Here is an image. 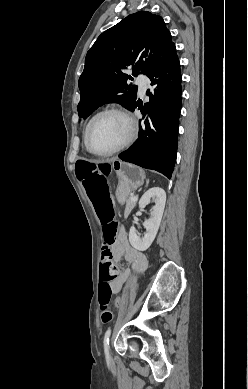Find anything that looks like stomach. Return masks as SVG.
I'll return each instance as SVG.
<instances>
[{
	"instance_id": "stomach-1",
	"label": "stomach",
	"mask_w": 248,
	"mask_h": 389,
	"mask_svg": "<svg viewBox=\"0 0 248 389\" xmlns=\"http://www.w3.org/2000/svg\"><path fill=\"white\" fill-rule=\"evenodd\" d=\"M113 169L118 177L116 198L124 203L129 194L138 189L144 182L145 172L140 167L121 161L113 162Z\"/></svg>"
}]
</instances>
